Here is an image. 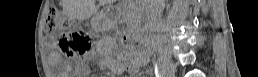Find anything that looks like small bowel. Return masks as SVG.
I'll return each instance as SVG.
<instances>
[{
	"label": "small bowel",
	"instance_id": "c3829d8e",
	"mask_svg": "<svg viewBox=\"0 0 258 77\" xmlns=\"http://www.w3.org/2000/svg\"><path fill=\"white\" fill-rule=\"evenodd\" d=\"M125 58L124 62H121L116 68V71H120L121 69L126 72H136L140 67L147 64L149 60V55L145 52H140L136 54L132 53H123Z\"/></svg>",
	"mask_w": 258,
	"mask_h": 77
}]
</instances>
